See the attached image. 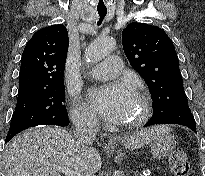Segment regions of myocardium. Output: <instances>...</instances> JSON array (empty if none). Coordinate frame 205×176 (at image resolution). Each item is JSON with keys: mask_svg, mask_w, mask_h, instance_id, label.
I'll return each instance as SVG.
<instances>
[{"mask_svg": "<svg viewBox=\"0 0 205 176\" xmlns=\"http://www.w3.org/2000/svg\"><path fill=\"white\" fill-rule=\"evenodd\" d=\"M137 98L141 103L142 106V111L140 116L130 122L127 123H122L121 127L122 128H137L142 126L143 124H145L148 119L150 118L151 115V102L149 97L147 96V94H145L144 92H140L137 94Z\"/></svg>", "mask_w": 205, "mask_h": 176, "instance_id": "f54148a6", "label": "myocardium"}]
</instances>
